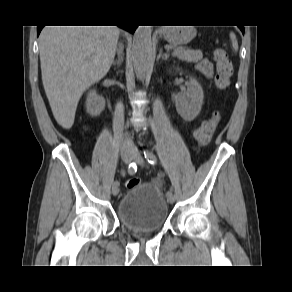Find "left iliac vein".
Masks as SVG:
<instances>
[{"label": "left iliac vein", "instance_id": "4c4485c4", "mask_svg": "<svg viewBox=\"0 0 292 292\" xmlns=\"http://www.w3.org/2000/svg\"><path fill=\"white\" fill-rule=\"evenodd\" d=\"M135 161L138 163V164H140V165H143L144 164V159H143V157L139 154V153H137L136 155H135ZM167 200H168V202L169 203H174L175 202V197H174V195L173 194H170L169 196H167Z\"/></svg>", "mask_w": 292, "mask_h": 292}]
</instances>
